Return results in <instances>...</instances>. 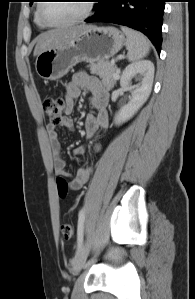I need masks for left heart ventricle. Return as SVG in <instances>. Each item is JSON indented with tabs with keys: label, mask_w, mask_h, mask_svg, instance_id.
Returning a JSON list of instances; mask_svg holds the SVG:
<instances>
[{
	"label": "left heart ventricle",
	"mask_w": 195,
	"mask_h": 299,
	"mask_svg": "<svg viewBox=\"0 0 195 299\" xmlns=\"http://www.w3.org/2000/svg\"><path fill=\"white\" fill-rule=\"evenodd\" d=\"M86 1H51L43 6L44 16L51 22L60 23L81 15Z\"/></svg>",
	"instance_id": "b2bd125f"
}]
</instances>
